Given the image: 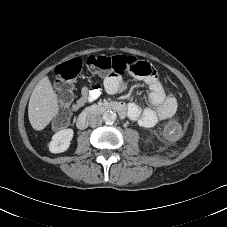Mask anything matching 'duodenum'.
<instances>
[{"mask_svg": "<svg viewBox=\"0 0 227 227\" xmlns=\"http://www.w3.org/2000/svg\"><path fill=\"white\" fill-rule=\"evenodd\" d=\"M107 111H114L118 113L121 118H125L127 116V110L125 105L118 102H108L85 110L76 121L77 128L85 129L88 126L91 117L95 113H102Z\"/></svg>", "mask_w": 227, "mask_h": 227, "instance_id": "duodenum-1", "label": "duodenum"}]
</instances>
